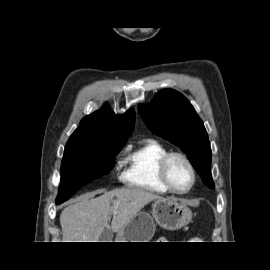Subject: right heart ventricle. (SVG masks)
<instances>
[{
	"instance_id": "obj_1",
	"label": "right heart ventricle",
	"mask_w": 270,
	"mask_h": 270,
	"mask_svg": "<svg viewBox=\"0 0 270 270\" xmlns=\"http://www.w3.org/2000/svg\"><path fill=\"white\" fill-rule=\"evenodd\" d=\"M169 153L159 141L148 139L131 149L125 157L122 174L124 183L139 190L155 194H166L169 190L159 175L161 159Z\"/></svg>"
}]
</instances>
